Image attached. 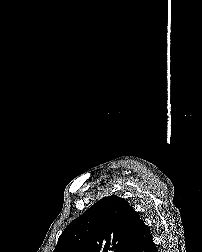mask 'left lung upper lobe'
<instances>
[{
  "label": "left lung upper lobe",
  "mask_w": 202,
  "mask_h": 252,
  "mask_svg": "<svg viewBox=\"0 0 202 252\" xmlns=\"http://www.w3.org/2000/svg\"><path fill=\"white\" fill-rule=\"evenodd\" d=\"M141 221L125 199L103 197L65 228L53 252H132Z\"/></svg>",
  "instance_id": "1"
}]
</instances>
